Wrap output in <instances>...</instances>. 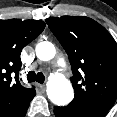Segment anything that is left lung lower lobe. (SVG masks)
<instances>
[{"label": "left lung lower lobe", "mask_w": 117, "mask_h": 117, "mask_svg": "<svg viewBox=\"0 0 117 117\" xmlns=\"http://www.w3.org/2000/svg\"><path fill=\"white\" fill-rule=\"evenodd\" d=\"M56 117H104L106 113L89 110L84 107L68 105L66 107H54Z\"/></svg>", "instance_id": "obj_1"}]
</instances>
